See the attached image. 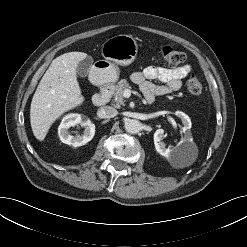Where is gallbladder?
<instances>
[{"instance_id": "gallbladder-1", "label": "gallbladder", "mask_w": 247, "mask_h": 247, "mask_svg": "<svg viewBox=\"0 0 247 247\" xmlns=\"http://www.w3.org/2000/svg\"><path fill=\"white\" fill-rule=\"evenodd\" d=\"M92 65H93L92 57L90 56L86 57L85 59L81 60L78 63V66L76 69L77 74L81 77L87 76L92 68Z\"/></svg>"}]
</instances>
